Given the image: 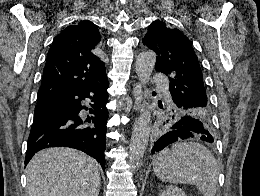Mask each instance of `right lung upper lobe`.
Here are the masks:
<instances>
[{
	"label": "right lung upper lobe",
	"mask_w": 260,
	"mask_h": 196,
	"mask_svg": "<svg viewBox=\"0 0 260 196\" xmlns=\"http://www.w3.org/2000/svg\"><path fill=\"white\" fill-rule=\"evenodd\" d=\"M98 27L88 20L71 25L54 39L47 54L37 104L107 78Z\"/></svg>",
	"instance_id": "1"
}]
</instances>
